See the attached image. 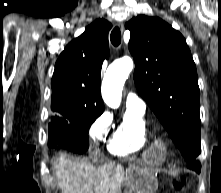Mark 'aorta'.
<instances>
[{
    "label": "aorta",
    "instance_id": "1",
    "mask_svg": "<svg viewBox=\"0 0 221 193\" xmlns=\"http://www.w3.org/2000/svg\"><path fill=\"white\" fill-rule=\"evenodd\" d=\"M133 70V60L123 57L114 61L106 71L102 81V97L111 108L117 109L121 104L123 85Z\"/></svg>",
    "mask_w": 221,
    "mask_h": 193
}]
</instances>
